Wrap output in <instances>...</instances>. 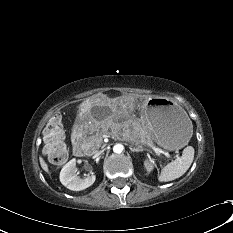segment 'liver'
I'll list each match as a JSON object with an SVG mask.
<instances>
[{
  "label": "liver",
  "instance_id": "1",
  "mask_svg": "<svg viewBox=\"0 0 233 233\" xmlns=\"http://www.w3.org/2000/svg\"><path fill=\"white\" fill-rule=\"evenodd\" d=\"M39 160H40V165H41L42 169H43L45 172H48L49 169H48L47 163L44 161V159H43L42 157H40Z\"/></svg>",
  "mask_w": 233,
  "mask_h": 233
}]
</instances>
